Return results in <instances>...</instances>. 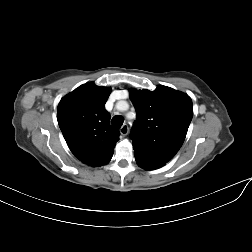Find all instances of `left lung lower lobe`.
I'll return each instance as SVG.
<instances>
[{"label":"left lung lower lobe","instance_id":"0a47b994","mask_svg":"<svg viewBox=\"0 0 252 252\" xmlns=\"http://www.w3.org/2000/svg\"><path fill=\"white\" fill-rule=\"evenodd\" d=\"M135 160L139 167L145 170H155L165 165V161L146 155L138 150H134Z\"/></svg>","mask_w":252,"mask_h":252}]
</instances>
